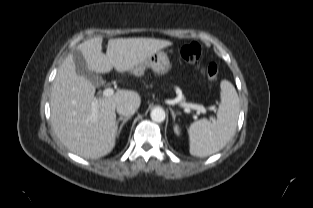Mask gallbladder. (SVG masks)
I'll use <instances>...</instances> for the list:
<instances>
[{"instance_id": "bac80fb5", "label": "gallbladder", "mask_w": 313, "mask_h": 208, "mask_svg": "<svg viewBox=\"0 0 313 208\" xmlns=\"http://www.w3.org/2000/svg\"><path fill=\"white\" fill-rule=\"evenodd\" d=\"M71 54L73 55V60L78 71L83 76L89 79L95 86H100L104 84V80L100 76L95 75L90 71L85 58L79 50L73 49Z\"/></svg>"}]
</instances>
